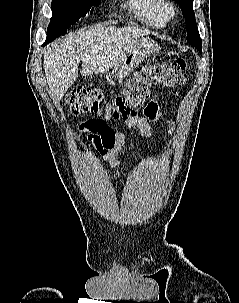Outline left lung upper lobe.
Instances as JSON below:
<instances>
[{
  "mask_svg": "<svg viewBox=\"0 0 239 303\" xmlns=\"http://www.w3.org/2000/svg\"><path fill=\"white\" fill-rule=\"evenodd\" d=\"M175 1L179 4L185 18V22L187 23V42L201 52L202 40L199 35L195 14L193 12V0Z\"/></svg>",
  "mask_w": 239,
  "mask_h": 303,
  "instance_id": "obj_1",
  "label": "left lung upper lobe"
}]
</instances>
